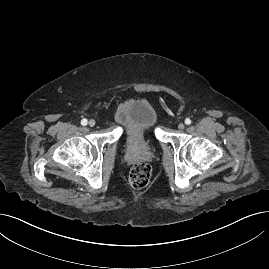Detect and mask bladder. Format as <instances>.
<instances>
[{
	"label": "bladder",
	"mask_w": 269,
	"mask_h": 269,
	"mask_svg": "<svg viewBox=\"0 0 269 269\" xmlns=\"http://www.w3.org/2000/svg\"><path fill=\"white\" fill-rule=\"evenodd\" d=\"M116 118L127 139L148 136L157 124L156 111L145 99L127 101L118 109Z\"/></svg>",
	"instance_id": "bladder-1"
}]
</instances>
